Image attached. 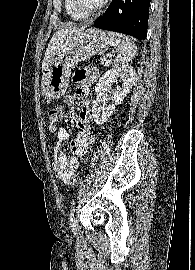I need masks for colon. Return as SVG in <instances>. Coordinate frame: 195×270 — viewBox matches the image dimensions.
Masks as SVG:
<instances>
[{
    "label": "colon",
    "instance_id": "obj_1",
    "mask_svg": "<svg viewBox=\"0 0 195 270\" xmlns=\"http://www.w3.org/2000/svg\"><path fill=\"white\" fill-rule=\"evenodd\" d=\"M63 113V107L61 105H56L52 107L48 112V119L50 122H58ZM79 174L75 173L70 178L65 180L67 186H73L78 180Z\"/></svg>",
    "mask_w": 195,
    "mask_h": 270
}]
</instances>
